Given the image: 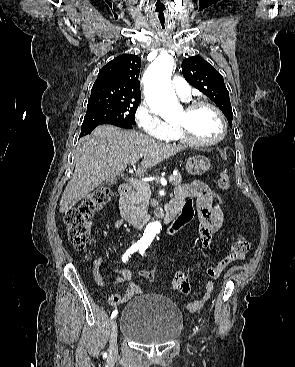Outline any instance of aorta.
<instances>
[{
    "label": "aorta",
    "instance_id": "762f6f07",
    "mask_svg": "<svg viewBox=\"0 0 295 367\" xmlns=\"http://www.w3.org/2000/svg\"><path fill=\"white\" fill-rule=\"evenodd\" d=\"M173 67L172 56L164 53L151 63L144 75L147 104L155 114L165 119L181 111V105L171 85ZM160 229V222H150L145 228L142 240L151 242Z\"/></svg>",
    "mask_w": 295,
    "mask_h": 367
}]
</instances>
